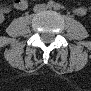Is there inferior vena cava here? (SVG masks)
<instances>
[{
	"mask_svg": "<svg viewBox=\"0 0 91 91\" xmlns=\"http://www.w3.org/2000/svg\"><path fill=\"white\" fill-rule=\"evenodd\" d=\"M46 8H47V6L44 5V4H42V5H36V6L34 7V11H35V12H39V11H42V10H44V9H46Z\"/></svg>",
	"mask_w": 91,
	"mask_h": 91,
	"instance_id": "obj_1",
	"label": "inferior vena cava"
}]
</instances>
